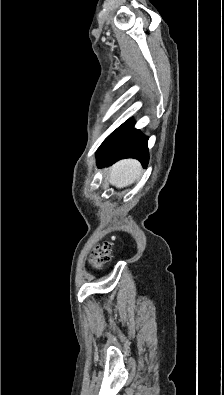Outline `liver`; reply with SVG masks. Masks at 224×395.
<instances>
[{"label":"liver","mask_w":224,"mask_h":395,"mask_svg":"<svg viewBox=\"0 0 224 395\" xmlns=\"http://www.w3.org/2000/svg\"><path fill=\"white\" fill-rule=\"evenodd\" d=\"M142 175V167L135 159L118 161L110 169L109 182L117 188L131 185Z\"/></svg>","instance_id":"liver-1"}]
</instances>
